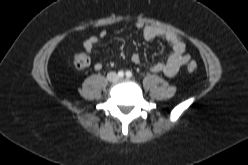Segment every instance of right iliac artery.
I'll return each mask as SVG.
<instances>
[{"mask_svg": "<svg viewBox=\"0 0 248 165\" xmlns=\"http://www.w3.org/2000/svg\"><path fill=\"white\" fill-rule=\"evenodd\" d=\"M118 76H119V77H123V76H124V72H123V71H119V72H118Z\"/></svg>", "mask_w": 248, "mask_h": 165, "instance_id": "82829eb1", "label": "right iliac artery"}]
</instances>
